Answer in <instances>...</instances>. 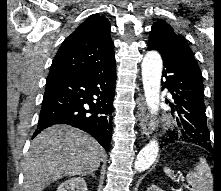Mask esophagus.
I'll return each instance as SVG.
<instances>
[{"label": "esophagus", "mask_w": 221, "mask_h": 191, "mask_svg": "<svg viewBox=\"0 0 221 191\" xmlns=\"http://www.w3.org/2000/svg\"><path fill=\"white\" fill-rule=\"evenodd\" d=\"M138 104V120L139 127L141 131L142 138L145 140L150 134V124H149V115L147 113V108L145 100L142 94L137 98Z\"/></svg>", "instance_id": "esophagus-1"}]
</instances>
